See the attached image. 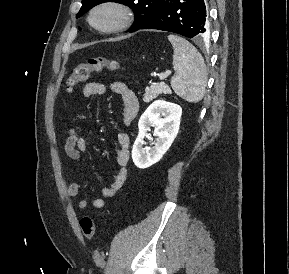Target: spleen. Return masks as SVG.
<instances>
[{
  "instance_id": "1",
  "label": "spleen",
  "mask_w": 289,
  "mask_h": 274,
  "mask_svg": "<svg viewBox=\"0 0 289 274\" xmlns=\"http://www.w3.org/2000/svg\"><path fill=\"white\" fill-rule=\"evenodd\" d=\"M173 54L175 75L171 79L174 92L188 102H199L205 94L207 69L197 49L186 39L169 35Z\"/></svg>"
}]
</instances>
